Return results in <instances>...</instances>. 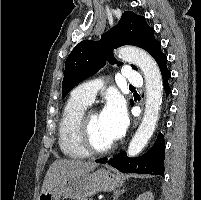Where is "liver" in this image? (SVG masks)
<instances>
[{"mask_svg": "<svg viewBox=\"0 0 201 200\" xmlns=\"http://www.w3.org/2000/svg\"><path fill=\"white\" fill-rule=\"evenodd\" d=\"M97 166L96 163L82 160H56L46 173L41 193L52 190L73 175L91 172Z\"/></svg>", "mask_w": 201, "mask_h": 200, "instance_id": "liver-1", "label": "liver"}]
</instances>
